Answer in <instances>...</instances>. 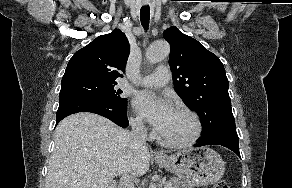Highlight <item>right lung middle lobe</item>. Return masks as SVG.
I'll list each match as a JSON object with an SVG mask.
<instances>
[{
    "label": "right lung middle lobe",
    "instance_id": "dd1d6c3e",
    "mask_svg": "<svg viewBox=\"0 0 292 188\" xmlns=\"http://www.w3.org/2000/svg\"><path fill=\"white\" fill-rule=\"evenodd\" d=\"M117 82L89 77L62 80L59 97L80 95L92 99L109 108H125L127 99L122 98V91L116 89Z\"/></svg>",
    "mask_w": 292,
    "mask_h": 188
}]
</instances>
